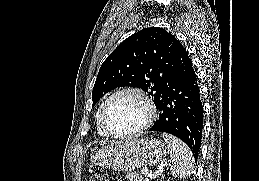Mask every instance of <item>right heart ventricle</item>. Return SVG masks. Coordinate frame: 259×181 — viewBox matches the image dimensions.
<instances>
[{"label": "right heart ventricle", "instance_id": "right-heart-ventricle-1", "mask_svg": "<svg viewBox=\"0 0 259 181\" xmlns=\"http://www.w3.org/2000/svg\"><path fill=\"white\" fill-rule=\"evenodd\" d=\"M101 106H102V105H101ZM101 106H100L99 109L97 110L96 116H95V118H96V124H97V131H98V133H99L101 136L106 137L107 134H106L105 131L103 130V128H102V126H101V124H100V120H99V115H100Z\"/></svg>", "mask_w": 259, "mask_h": 181}]
</instances>
